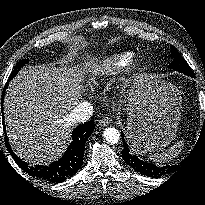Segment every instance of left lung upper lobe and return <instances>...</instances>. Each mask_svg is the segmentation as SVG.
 <instances>
[{"instance_id": "5c2ea615", "label": "left lung upper lobe", "mask_w": 205, "mask_h": 205, "mask_svg": "<svg viewBox=\"0 0 205 205\" xmlns=\"http://www.w3.org/2000/svg\"><path fill=\"white\" fill-rule=\"evenodd\" d=\"M171 57L173 58L172 63L169 65V67L175 71L184 73L188 76H193L194 73L187 64V62L184 60V58L179 54V52L176 50L174 46L171 45Z\"/></svg>"}]
</instances>
